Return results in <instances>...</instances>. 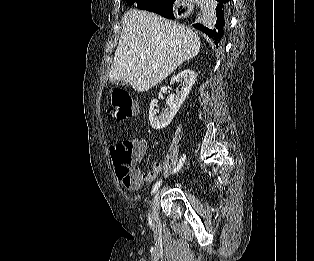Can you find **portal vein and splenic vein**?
Wrapping results in <instances>:
<instances>
[{"label": "portal vein and splenic vein", "instance_id": "obj_1", "mask_svg": "<svg viewBox=\"0 0 314 261\" xmlns=\"http://www.w3.org/2000/svg\"><path fill=\"white\" fill-rule=\"evenodd\" d=\"M153 68H154V69H158L159 66H158V65H154Z\"/></svg>", "mask_w": 314, "mask_h": 261}]
</instances>
